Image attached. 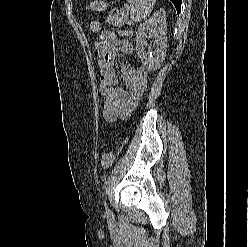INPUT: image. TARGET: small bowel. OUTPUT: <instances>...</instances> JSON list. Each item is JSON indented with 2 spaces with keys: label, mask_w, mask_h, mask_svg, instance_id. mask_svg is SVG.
<instances>
[{
  "label": "small bowel",
  "mask_w": 248,
  "mask_h": 247,
  "mask_svg": "<svg viewBox=\"0 0 248 247\" xmlns=\"http://www.w3.org/2000/svg\"><path fill=\"white\" fill-rule=\"evenodd\" d=\"M95 47L99 57L100 89L104 100V118L115 121L125 119L134 110L140 97L134 93L136 71L129 65L121 66L120 72L128 90L118 86V76L115 70L117 52L130 54L133 51L128 39L119 38L112 31H105L98 36ZM112 154L107 153L102 158V165L108 167L112 162Z\"/></svg>",
  "instance_id": "1"
}]
</instances>
